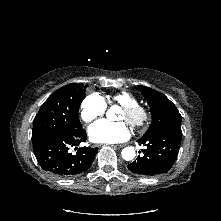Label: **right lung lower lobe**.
<instances>
[{
	"mask_svg": "<svg viewBox=\"0 0 221 221\" xmlns=\"http://www.w3.org/2000/svg\"><path fill=\"white\" fill-rule=\"evenodd\" d=\"M87 134L85 130L72 133L54 132L48 133L33 140V151L40 166L59 177H74L85 172L92 164L98 148H78L76 154H72L71 147L85 142Z\"/></svg>",
	"mask_w": 221,
	"mask_h": 221,
	"instance_id": "98d812e1",
	"label": "right lung lower lobe"
}]
</instances>
